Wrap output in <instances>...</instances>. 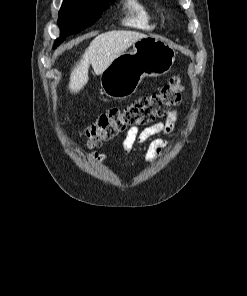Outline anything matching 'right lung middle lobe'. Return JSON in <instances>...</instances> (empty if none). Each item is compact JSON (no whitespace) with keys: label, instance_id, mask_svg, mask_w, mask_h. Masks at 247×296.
Wrapping results in <instances>:
<instances>
[{"label":"right lung middle lobe","instance_id":"1","mask_svg":"<svg viewBox=\"0 0 247 296\" xmlns=\"http://www.w3.org/2000/svg\"><path fill=\"white\" fill-rule=\"evenodd\" d=\"M113 0H64L59 11L60 38L54 48L68 35L75 34L94 24Z\"/></svg>","mask_w":247,"mask_h":296}]
</instances>
